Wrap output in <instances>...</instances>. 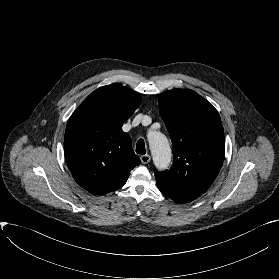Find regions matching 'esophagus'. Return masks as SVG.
I'll list each match as a JSON object with an SVG mask.
<instances>
[{
    "label": "esophagus",
    "mask_w": 279,
    "mask_h": 279,
    "mask_svg": "<svg viewBox=\"0 0 279 279\" xmlns=\"http://www.w3.org/2000/svg\"><path fill=\"white\" fill-rule=\"evenodd\" d=\"M140 159H141V162H142L143 164H147V163L150 161L151 157H150L149 154H146V155H142V156L140 157Z\"/></svg>",
    "instance_id": "34e87169"
}]
</instances>
